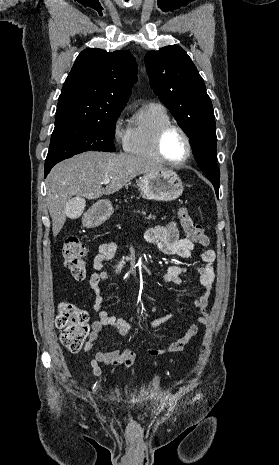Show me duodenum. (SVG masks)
Wrapping results in <instances>:
<instances>
[{
	"label": "duodenum",
	"instance_id": "duodenum-1",
	"mask_svg": "<svg viewBox=\"0 0 279 465\" xmlns=\"http://www.w3.org/2000/svg\"><path fill=\"white\" fill-rule=\"evenodd\" d=\"M132 259V256H127L123 259L122 263H125L126 261Z\"/></svg>",
	"mask_w": 279,
	"mask_h": 465
}]
</instances>
